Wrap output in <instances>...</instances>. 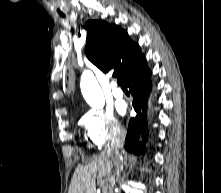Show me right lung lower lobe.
Here are the masks:
<instances>
[{
    "mask_svg": "<svg viewBox=\"0 0 221 193\" xmlns=\"http://www.w3.org/2000/svg\"><path fill=\"white\" fill-rule=\"evenodd\" d=\"M150 70L144 60L125 80L133 95V108L137 115L128 125L125 148L134 154H142L148 140L147 101L151 91Z\"/></svg>",
    "mask_w": 221,
    "mask_h": 193,
    "instance_id": "right-lung-lower-lobe-1",
    "label": "right lung lower lobe"
}]
</instances>
